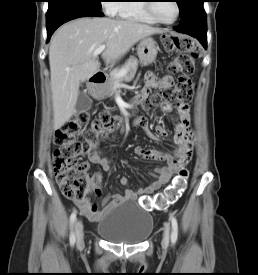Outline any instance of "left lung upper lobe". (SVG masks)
I'll return each mask as SVG.
<instances>
[{
	"instance_id": "left-lung-upper-lobe-1",
	"label": "left lung upper lobe",
	"mask_w": 258,
	"mask_h": 275,
	"mask_svg": "<svg viewBox=\"0 0 258 275\" xmlns=\"http://www.w3.org/2000/svg\"><path fill=\"white\" fill-rule=\"evenodd\" d=\"M193 0H177L180 11V16L182 17L184 13L187 11L189 5L191 4Z\"/></svg>"
}]
</instances>
